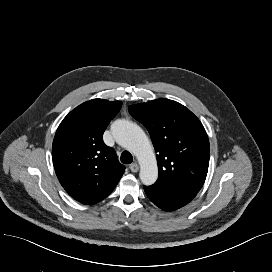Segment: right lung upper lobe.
<instances>
[{
    "mask_svg": "<svg viewBox=\"0 0 272 272\" xmlns=\"http://www.w3.org/2000/svg\"><path fill=\"white\" fill-rule=\"evenodd\" d=\"M121 106L120 101H87L72 110L56 131L52 146L56 175L65 191L82 204L106 198L125 171L115 151L103 142V133Z\"/></svg>",
    "mask_w": 272,
    "mask_h": 272,
    "instance_id": "cb5924a9",
    "label": "right lung upper lobe"
}]
</instances>
